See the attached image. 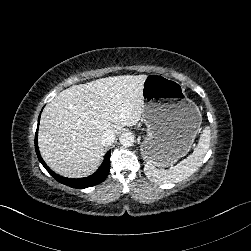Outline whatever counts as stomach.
Returning <instances> with one entry per match:
<instances>
[{"label":"stomach","mask_w":251,"mask_h":251,"mask_svg":"<svg viewBox=\"0 0 251 251\" xmlns=\"http://www.w3.org/2000/svg\"><path fill=\"white\" fill-rule=\"evenodd\" d=\"M142 96L148 133L144 154L156 166H170L191 148L202 123L201 111L181 83L161 74L147 76Z\"/></svg>","instance_id":"obj_1"}]
</instances>
